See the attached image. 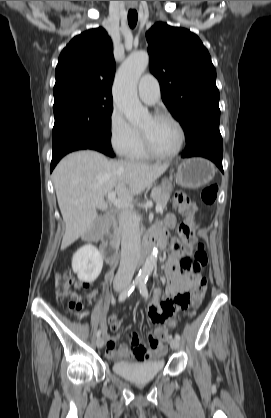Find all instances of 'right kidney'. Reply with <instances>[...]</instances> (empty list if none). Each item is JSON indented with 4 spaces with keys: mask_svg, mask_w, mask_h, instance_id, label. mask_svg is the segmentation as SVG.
<instances>
[{
    "mask_svg": "<svg viewBox=\"0 0 271 418\" xmlns=\"http://www.w3.org/2000/svg\"><path fill=\"white\" fill-rule=\"evenodd\" d=\"M102 267V254L91 244L81 247L73 255L72 269L81 281L93 282L100 275Z\"/></svg>",
    "mask_w": 271,
    "mask_h": 418,
    "instance_id": "obj_1",
    "label": "right kidney"
}]
</instances>
